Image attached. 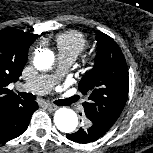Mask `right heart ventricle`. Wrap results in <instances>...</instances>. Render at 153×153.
<instances>
[{
    "instance_id": "obj_1",
    "label": "right heart ventricle",
    "mask_w": 153,
    "mask_h": 153,
    "mask_svg": "<svg viewBox=\"0 0 153 153\" xmlns=\"http://www.w3.org/2000/svg\"><path fill=\"white\" fill-rule=\"evenodd\" d=\"M86 36L76 30L64 32L57 36L56 46L60 57H67L75 60L87 47Z\"/></svg>"
}]
</instances>
